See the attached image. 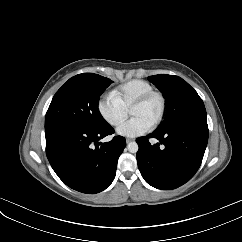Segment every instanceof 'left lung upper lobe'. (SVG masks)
<instances>
[{"instance_id": "5c2ea615", "label": "left lung upper lobe", "mask_w": 242, "mask_h": 242, "mask_svg": "<svg viewBox=\"0 0 242 242\" xmlns=\"http://www.w3.org/2000/svg\"><path fill=\"white\" fill-rule=\"evenodd\" d=\"M148 79L166 99V116L156 131L167 130L181 122L206 119V110L197 92L182 78L174 75H154Z\"/></svg>"}]
</instances>
